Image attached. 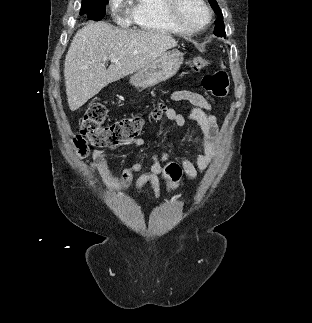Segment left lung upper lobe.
Returning a JSON list of instances; mask_svg holds the SVG:
<instances>
[{"label":"left lung upper lobe","mask_w":312,"mask_h":323,"mask_svg":"<svg viewBox=\"0 0 312 323\" xmlns=\"http://www.w3.org/2000/svg\"><path fill=\"white\" fill-rule=\"evenodd\" d=\"M212 9L214 10V12L216 14H218V18L215 21L216 26H215V30H214V34L216 36H220V37H226V33H225V26H224V22H223V16H222V12L219 8L218 3L216 2V0H208Z\"/></svg>","instance_id":"1"}]
</instances>
